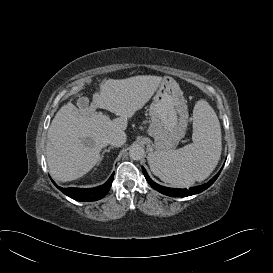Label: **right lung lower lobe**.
<instances>
[{
	"label": "right lung lower lobe",
	"mask_w": 273,
	"mask_h": 273,
	"mask_svg": "<svg viewBox=\"0 0 273 273\" xmlns=\"http://www.w3.org/2000/svg\"><path fill=\"white\" fill-rule=\"evenodd\" d=\"M114 173L111 175L109 180L101 186L95 188H62L56 185V183L52 180L53 184L62 191L65 195L77 201H96L103 198L109 191L112 181H113Z\"/></svg>",
	"instance_id": "right-lung-lower-lobe-1"
}]
</instances>
